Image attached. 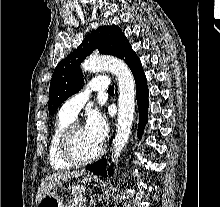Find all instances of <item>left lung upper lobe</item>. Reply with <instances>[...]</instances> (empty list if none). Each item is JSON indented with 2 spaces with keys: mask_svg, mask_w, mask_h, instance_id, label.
Here are the masks:
<instances>
[{
  "mask_svg": "<svg viewBox=\"0 0 220 207\" xmlns=\"http://www.w3.org/2000/svg\"><path fill=\"white\" fill-rule=\"evenodd\" d=\"M96 48L101 54L121 59H125L132 50L118 26H101L93 30L74 52L56 66L50 83L49 114L54 113L61 103L81 89L84 80L80 64Z\"/></svg>",
  "mask_w": 220,
  "mask_h": 207,
  "instance_id": "5c2ea615",
  "label": "left lung upper lobe"
}]
</instances>
